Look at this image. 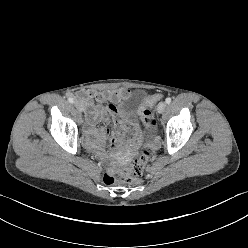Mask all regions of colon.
I'll list each match as a JSON object with an SVG mask.
<instances>
[{"instance_id": "5ec220e1", "label": "colon", "mask_w": 248, "mask_h": 248, "mask_svg": "<svg viewBox=\"0 0 248 248\" xmlns=\"http://www.w3.org/2000/svg\"><path fill=\"white\" fill-rule=\"evenodd\" d=\"M162 96L160 94L152 95L145 99L144 104L141 108L140 115L143 123L147 127H153L152 124H156L155 119L151 113V108L155 103L160 100ZM150 156V150L148 148H142L140 155L133 162V164L127 168L120 171L109 170L103 176V181L107 185H112L116 182L123 183H137L142 176L146 164Z\"/></svg>"}]
</instances>
